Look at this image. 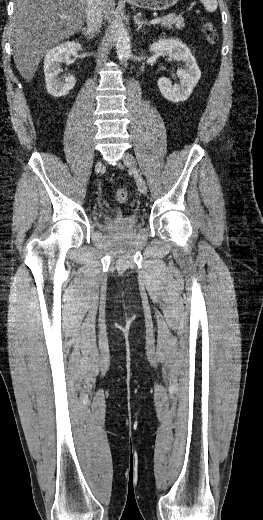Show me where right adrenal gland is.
I'll return each mask as SVG.
<instances>
[{"label": "right adrenal gland", "mask_w": 263, "mask_h": 520, "mask_svg": "<svg viewBox=\"0 0 263 520\" xmlns=\"http://www.w3.org/2000/svg\"><path fill=\"white\" fill-rule=\"evenodd\" d=\"M81 31L83 32L86 39H92L93 35L89 33V31L86 28H81Z\"/></svg>", "instance_id": "1"}]
</instances>
